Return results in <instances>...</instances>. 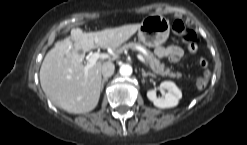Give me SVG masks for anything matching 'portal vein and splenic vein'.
Returning a JSON list of instances; mask_svg holds the SVG:
<instances>
[{
    "mask_svg": "<svg viewBox=\"0 0 247 145\" xmlns=\"http://www.w3.org/2000/svg\"><path fill=\"white\" fill-rule=\"evenodd\" d=\"M138 59L145 65L148 66L146 60L144 59V57L140 54L137 55ZM110 58L109 54H105V53H93L88 59H87V64L85 66V74L88 73V70L90 67H92L98 59H108Z\"/></svg>",
    "mask_w": 247,
    "mask_h": 145,
    "instance_id": "18ae733b",
    "label": "portal vein and splenic vein"
}]
</instances>
